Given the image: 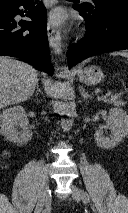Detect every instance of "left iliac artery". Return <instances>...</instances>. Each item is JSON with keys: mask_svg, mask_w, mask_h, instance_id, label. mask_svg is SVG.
<instances>
[{"mask_svg": "<svg viewBox=\"0 0 128 213\" xmlns=\"http://www.w3.org/2000/svg\"><path fill=\"white\" fill-rule=\"evenodd\" d=\"M81 196L84 202H90V196L84 190H81Z\"/></svg>", "mask_w": 128, "mask_h": 213, "instance_id": "obj_1", "label": "left iliac artery"}]
</instances>
